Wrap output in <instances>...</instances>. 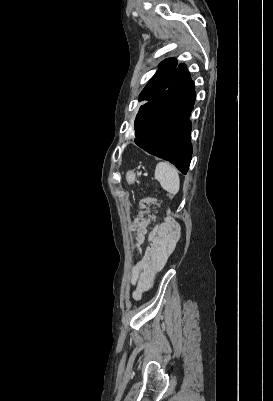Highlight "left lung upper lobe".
I'll return each mask as SVG.
<instances>
[{"label":"left lung upper lobe","mask_w":273,"mask_h":401,"mask_svg":"<svg viewBox=\"0 0 273 401\" xmlns=\"http://www.w3.org/2000/svg\"><path fill=\"white\" fill-rule=\"evenodd\" d=\"M177 65V61L173 58H169L161 62L159 64L158 73L151 78L139 95V101L148 102L164 92L170 85L172 74L176 70Z\"/></svg>","instance_id":"obj_1"}]
</instances>
